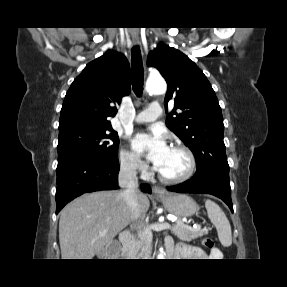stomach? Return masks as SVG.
Wrapping results in <instances>:
<instances>
[{"label":"stomach","instance_id":"stomach-1","mask_svg":"<svg viewBox=\"0 0 287 287\" xmlns=\"http://www.w3.org/2000/svg\"><path fill=\"white\" fill-rule=\"evenodd\" d=\"M159 200L168 212L180 218L192 216L198 210L196 202L186 194L166 193Z\"/></svg>","mask_w":287,"mask_h":287}]
</instances>
